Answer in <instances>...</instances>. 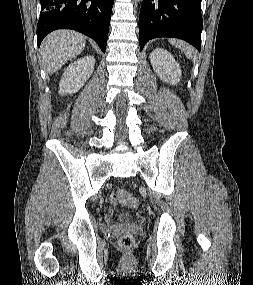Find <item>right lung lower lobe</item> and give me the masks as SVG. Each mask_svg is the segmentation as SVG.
<instances>
[{"instance_id":"obj_1","label":"right lung lower lobe","mask_w":253,"mask_h":285,"mask_svg":"<svg viewBox=\"0 0 253 285\" xmlns=\"http://www.w3.org/2000/svg\"><path fill=\"white\" fill-rule=\"evenodd\" d=\"M114 0H41L37 42L57 29H73L94 39L105 52Z\"/></svg>"}]
</instances>
